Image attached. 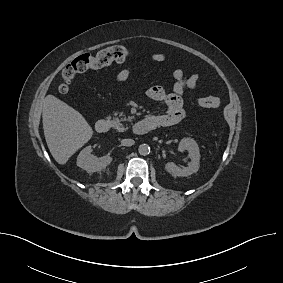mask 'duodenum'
I'll return each instance as SVG.
<instances>
[{"instance_id": "1", "label": "duodenum", "mask_w": 283, "mask_h": 283, "mask_svg": "<svg viewBox=\"0 0 283 283\" xmlns=\"http://www.w3.org/2000/svg\"><path fill=\"white\" fill-rule=\"evenodd\" d=\"M111 128V122L106 119H100L95 124V129L100 134L107 133ZM157 128V124L150 118H145L133 126V132L137 135H144Z\"/></svg>"}]
</instances>
